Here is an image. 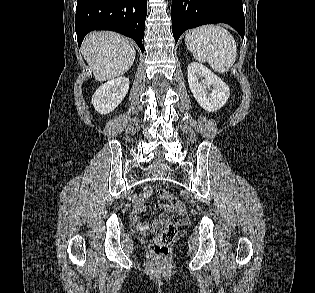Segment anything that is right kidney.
I'll return each instance as SVG.
<instances>
[{"label": "right kidney", "mask_w": 315, "mask_h": 293, "mask_svg": "<svg viewBox=\"0 0 315 293\" xmlns=\"http://www.w3.org/2000/svg\"><path fill=\"white\" fill-rule=\"evenodd\" d=\"M129 84L128 78L119 77L101 85L92 96L95 110L102 115L113 111L126 96Z\"/></svg>", "instance_id": "1"}]
</instances>
